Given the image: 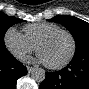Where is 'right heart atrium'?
Segmentation results:
<instances>
[{
  "label": "right heart atrium",
  "mask_w": 89,
  "mask_h": 89,
  "mask_svg": "<svg viewBox=\"0 0 89 89\" xmlns=\"http://www.w3.org/2000/svg\"><path fill=\"white\" fill-rule=\"evenodd\" d=\"M3 41L7 50L17 59H23L35 50V46L15 27L5 31Z\"/></svg>",
  "instance_id": "1"
}]
</instances>
